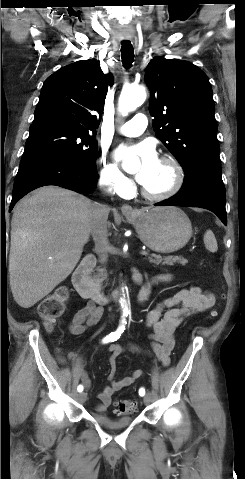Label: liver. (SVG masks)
<instances>
[{"mask_svg": "<svg viewBox=\"0 0 245 479\" xmlns=\"http://www.w3.org/2000/svg\"><path fill=\"white\" fill-rule=\"evenodd\" d=\"M90 204L57 186L41 187L16 204L9 274L19 306L32 307L72 273L91 233Z\"/></svg>", "mask_w": 245, "mask_h": 479, "instance_id": "6515ba94", "label": "liver"}]
</instances>
